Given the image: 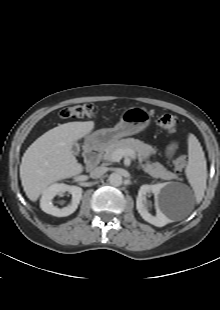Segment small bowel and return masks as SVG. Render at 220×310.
Returning <instances> with one entry per match:
<instances>
[{
    "label": "small bowel",
    "instance_id": "c3829d8e",
    "mask_svg": "<svg viewBox=\"0 0 220 310\" xmlns=\"http://www.w3.org/2000/svg\"><path fill=\"white\" fill-rule=\"evenodd\" d=\"M177 148H178V142L176 141L171 142L166 149V155L167 156L173 155V153Z\"/></svg>",
    "mask_w": 220,
    "mask_h": 310
}]
</instances>
